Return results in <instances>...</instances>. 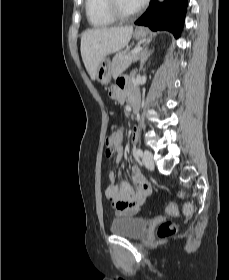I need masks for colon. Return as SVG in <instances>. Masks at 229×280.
Returning <instances> with one entry per match:
<instances>
[{
    "label": "colon",
    "instance_id": "obj_1",
    "mask_svg": "<svg viewBox=\"0 0 229 280\" xmlns=\"http://www.w3.org/2000/svg\"><path fill=\"white\" fill-rule=\"evenodd\" d=\"M122 139V131L118 127H114L112 131L106 136L105 139V155L107 157H111L117 147L119 146V143ZM131 200H123L120 202L122 206H127L131 204ZM175 210L174 206L169 207V211L173 212ZM184 212L187 215H192L194 213V206L190 203L186 204L184 206ZM175 231V227L171 225L170 223L163 222L159 225L157 234L160 238H164L170 234H172Z\"/></svg>",
    "mask_w": 229,
    "mask_h": 280
}]
</instances>
